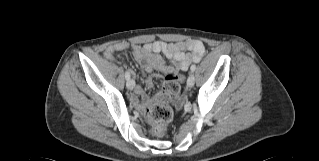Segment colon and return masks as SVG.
I'll list each match as a JSON object with an SVG mask.
<instances>
[{
    "label": "colon",
    "instance_id": "colon-1",
    "mask_svg": "<svg viewBox=\"0 0 319 161\" xmlns=\"http://www.w3.org/2000/svg\"><path fill=\"white\" fill-rule=\"evenodd\" d=\"M179 90V81L176 72H169L159 91L154 96V101L148 108L151 121V132L154 136H161L166 132V123L173 116L171 103Z\"/></svg>",
    "mask_w": 319,
    "mask_h": 161
}]
</instances>
